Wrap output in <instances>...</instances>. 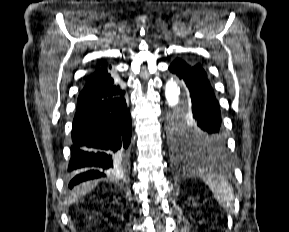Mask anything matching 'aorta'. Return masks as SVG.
<instances>
[{
  "label": "aorta",
  "mask_w": 289,
  "mask_h": 232,
  "mask_svg": "<svg viewBox=\"0 0 289 232\" xmlns=\"http://www.w3.org/2000/svg\"><path fill=\"white\" fill-rule=\"evenodd\" d=\"M165 97L169 107L173 109V118H179L188 114L190 99L188 94H182V90L175 80L170 79L166 82Z\"/></svg>",
  "instance_id": "762f6f07"
}]
</instances>
